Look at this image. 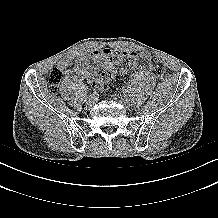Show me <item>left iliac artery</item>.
<instances>
[{
    "mask_svg": "<svg viewBox=\"0 0 218 218\" xmlns=\"http://www.w3.org/2000/svg\"><path fill=\"white\" fill-rule=\"evenodd\" d=\"M121 93H122V95H124V96H127L128 95V92H127V90H123L122 88L119 90ZM130 96V95H129Z\"/></svg>",
    "mask_w": 218,
    "mask_h": 218,
    "instance_id": "44dca946",
    "label": "left iliac artery"
}]
</instances>
